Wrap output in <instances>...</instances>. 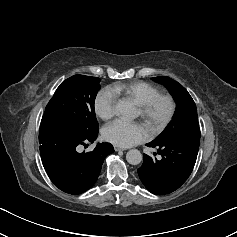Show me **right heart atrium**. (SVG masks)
<instances>
[{
    "instance_id": "obj_1",
    "label": "right heart atrium",
    "mask_w": 237,
    "mask_h": 237,
    "mask_svg": "<svg viewBox=\"0 0 237 237\" xmlns=\"http://www.w3.org/2000/svg\"><path fill=\"white\" fill-rule=\"evenodd\" d=\"M117 96L109 89L99 91L94 99V110L102 120L111 119L116 113Z\"/></svg>"
}]
</instances>
